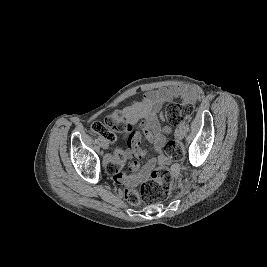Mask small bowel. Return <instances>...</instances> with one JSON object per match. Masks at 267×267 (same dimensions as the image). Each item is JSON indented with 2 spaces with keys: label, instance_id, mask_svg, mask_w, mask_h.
<instances>
[{
  "label": "small bowel",
  "instance_id": "c3829d8e",
  "mask_svg": "<svg viewBox=\"0 0 267 267\" xmlns=\"http://www.w3.org/2000/svg\"><path fill=\"white\" fill-rule=\"evenodd\" d=\"M198 96V88L194 85H184L177 87L163 88L155 91L148 92L143 101L137 103L125 110L127 118L134 119L135 117H142L144 119L140 129L145 138L154 145L155 151L158 153L155 161L159 167L169 165L171 159L169 156L162 152V147L165 141L164 130L160 126L158 120V112L161 105L165 102L171 101L175 98L182 100H191L194 102ZM134 146L136 147V154L138 156L145 155V151L138 147V137H133ZM153 163L150 162L143 169L138 177L124 172L118 166L113 168L114 178L121 183L133 182L137 178H146L152 170ZM133 170H139L137 163L133 164ZM173 172L178 170L177 166H173Z\"/></svg>",
  "mask_w": 267,
  "mask_h": 267
}]
</instances>
